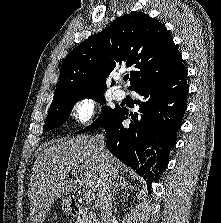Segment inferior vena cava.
<instances>
[{
  "instance_id": "inferior-vena-cava-1",
  "label": "inferior vena cava",
  "mask_w": 221,
  "mask_h": 223,
  "mask_svg": "<svg viewBox=\"0 0 221 223\" xmlns=\"http://www.w3.org/2000/svg\"><path fill=\"white\" fill-rule=\"evenodd\" d=\"M95 144L99 156L104 159L106 155L105 135L100 133L95 136ZM112 181L107 168H103L99 189L100 223H111L112 201H111Z\"/></svg>"
}]
</instances>
